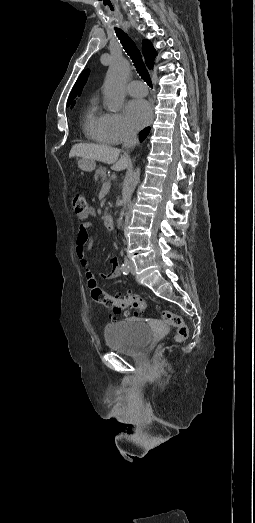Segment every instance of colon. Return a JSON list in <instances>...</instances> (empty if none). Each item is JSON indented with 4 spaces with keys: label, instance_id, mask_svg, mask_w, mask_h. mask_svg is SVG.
<instances>
[{
    "label": "colon",
    "instance_id": "5ec220e1",
    "mask_svg": "<svg viewBox=\"0 0 255 523\" xmlns=\"http://www.w3.org/2000/svg\"><path fill=\"white\" fill-rule=\"evenodd\" d=\"M72 205L77 214L84 213L88 209L86 198L81 194L73 195ZM88 285L92 299L114 312L126 308L135 312H142L146 309V303L136 295L106 293L97 286L93 278L88 280ZM160 316L164 324L175 329V340L177 342H182L188 337V327L180 315L164 310L161 311Z\"/></svg>",
    "mask_w": 255,
    "mask_h": 523
}]
</instances>
